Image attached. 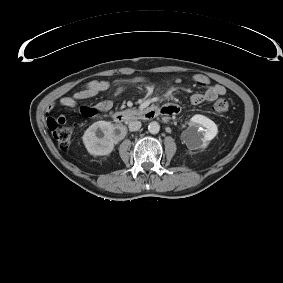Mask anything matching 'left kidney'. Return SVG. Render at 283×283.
Here are the masks:
<instances>
[{
	"instance_id": "1",
	"label": "left kidney",
	"mask_w": 283,
	"mask_h": 283,
	"mask_svg": "<svg viewBox=\"0 0 283 283\" xmlns=\"http://www.w3.org/2000/svg\"><path fill=\"white\" fill-rule=\"evenodd\" d=\"M217 133V125L211 119L196 114L190 119L189 127L186 130V146L190 150L206 148Z\"/></svg>"
}]
</instances>
